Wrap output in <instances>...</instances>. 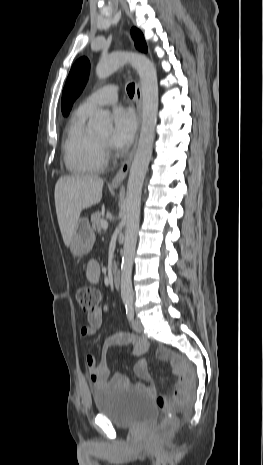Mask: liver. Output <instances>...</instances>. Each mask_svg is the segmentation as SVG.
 <instances>
[{
  "label": "liver",
  "mask_w": 263,
  "mask_h": 465,
  "mask_svg": "<svg viewBox=\"0 0 263 465\" xmlns=\"http://www.w3.org/2000/svg\"><path fill=\"white\" fill-rule=\"evenodd\" d=\"M104 180L98 176H62L55 185V206L64 244L70 246L82 210L102 199Z\"/></svg>",
  "instance_id": "obj_1"
}]
</instances>
